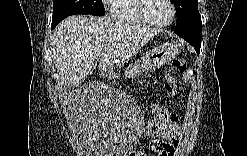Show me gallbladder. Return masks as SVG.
I'll return each mask as SVG.
<instances>
[{
  "label": "gallbladder",
  "instance_id": "bac80fb5",
  "mask_svg": "<svg viewBox=\"0 0 247 156\" xmlns=\"http://www.w3.org/2000/svg\"><path fill=\"white\" fill-rule=\"evenodd\" d=\"M72 89H73V84H72V83L66 84V85L63 87V91H64L65 93H70V92L72 91Z\"/></svg>",
  "mask_w": 247,
  "mask_h": 156
}]
</instances>
